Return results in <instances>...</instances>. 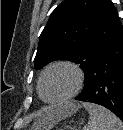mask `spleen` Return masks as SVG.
Returning a JSON list of instances; mask_svg holds the SVG:
<instances>
[{"label":"spleen","instance_id":"3e777b00","mask_svg":"<svg viewBox=\"0 0 123 130\" xmlns=\"http://www.w3.org/2000/svg\"><path fill=\"white\" fill-rule=\"evenodd\" d=\"M84 108L89 113V120L83 130H123V122L103 106L85 102Z\"/></svg>","mask_w":123,"mask_h":130}]
</instances>
